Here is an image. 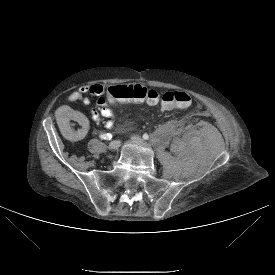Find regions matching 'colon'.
<instances>
[{
	"instance_id": "colon-1",
	"label": "colon",
	"mask_w": 275,
	"mask_h": 275,
	"mask_svg": "<svg viewBox=\"0 0 275 275\" xmlns=\"http://www.w3.org/2000/svg\"><path fill=\"white\" fill-rule=\"evenodd\" d=\"M104 98L106 103L112 106L123 101L155 104L160 100L164 110L186 109L192 101L191 96L184 91H168L160 96L154 89L138 84L111 87Z\"/></svg>"
}]
</instances>
